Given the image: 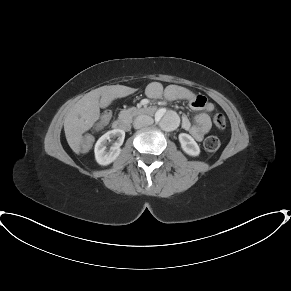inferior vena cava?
<instances>
[{
    "mask_svg": "<svg viewBox=\"0 0 291 291\" xmlns=\"http://www.w3.org/2000/svg\"><path fill=\"white\" fill-rule=\"evenodd\" d=\"M154 120L152 117L148 116V115H139L138 117H136V119L134 120V128L139 129L145 126H149L151 124H153Z\"/></svg>",
    "mask_w": 291,
    "mask_h": 291,
    "instance_id": "1",
    "label": "inferior vena cava"
}]
</instances>
